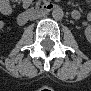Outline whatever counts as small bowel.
Returning a JSON list of instances; mask_svg holds the SVG:
<instances>
[{
	"label": "small bowel",
	"mask_w": 91,
	"mask_h": 91,
	"mask_svg": "<svg viewBox=\"0 0 91 91\" xmlns=\"http://www.w3.org/2000/svg\"><path fill=\"white\" fill-rule=\"evenodd\" d=\"M9 4L7 1H3L1 3V10L4 12V13H7L9 11Z\"/></svg>",
	"instance_id": "1"
}]
</instances>
